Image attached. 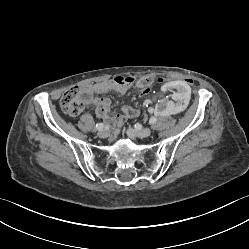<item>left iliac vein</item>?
<instances>
[{
	"label": "left iliac vein",
	"instance_id": "obj_1",
	"mask_svg": "<svg viewBox=\"0 0 249 249\" xmlns=\"http://www.w3.org/2000/svg\"><path fill=\"white\" fill-rule=\"evenodd\" d=\"M127 134L131 137L137 136L139 138H146V137H149L151 135V129L150 128H143L140 130H134L132 128H129L127 130Z\"/></svg>",
	"mask_w": 249,
	"mask_h": 249
}]
</instances>
